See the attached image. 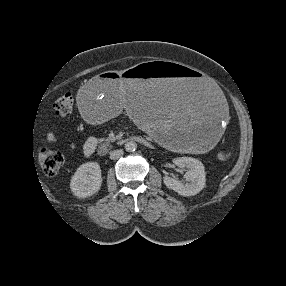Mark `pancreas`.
Segmentation results:
<instances>
[{"instance_id":"1","label":"pancreas","mask_w":286,"mask_h":286,"mask_svg":"<svg viewBox=\"0 0 286 286\" xmlns=\"http://www.w3.org/2000/svg\"><path fill=\"white\" fill-rule=\"evenodd\" d=\"M116 139L117 137H108L106 139L102 138L100 141L114 142Z\"/></svg>"}]
</instances>
